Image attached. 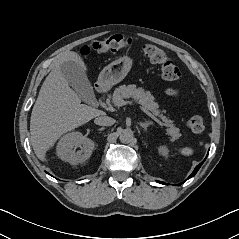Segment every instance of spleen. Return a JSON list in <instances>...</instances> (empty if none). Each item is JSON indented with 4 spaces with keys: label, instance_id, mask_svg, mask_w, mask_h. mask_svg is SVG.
<instances>
[{
    "label": "spleen",
    "instance_id": "obj_1",
    "mask_svg": "<svg viewBox=\"0 0 239 239\" xmlns=\"http://www.w3.org/2000/svg\"><path fill=\"white\" fill-rule=\"evenodd\" d=\"M180 152L183 155L189 156V155L193 154L194 150L192 148H190V147H185V148L181 149Z\"/></svg>",
    "mask_w": 239,
    "mask_h": 239
}]
</instances>
